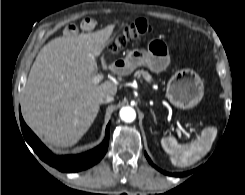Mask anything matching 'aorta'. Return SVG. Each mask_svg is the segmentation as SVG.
Wrapping results in <instances>:
<instances>
[{
  "mask_svg": "<svg viewBox=\"0 0 245 195\" xmlns=\"http://www.w3.org/2000/svg\"><path fill=\"white\" fill-rule=\"evenodd\" d=\"M120 118L127 123L133 122L136 118V112L132 107H122L120 110Z\"/></svg>",
  "mask_w": 245,
  "mask_h": 195,
  "instance_id": "obj_1",
  "label": "aorta"
}]
</instances>
